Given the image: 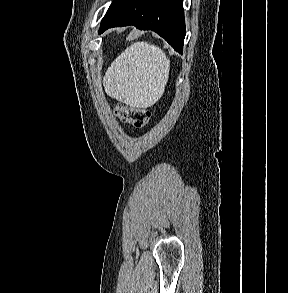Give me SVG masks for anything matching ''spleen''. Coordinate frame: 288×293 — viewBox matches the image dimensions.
<instances>
[{
    "label": "spleen",
    "instance_id": "3e777b00",
    "mask_svg": "<svg viewBox=\"0 0 288 293\" xmlns=\"http://www.w3.org/2000/svg\"><path fill=\"white\" fill-rule=\"evenodd\" d=\"M170 61L157 46L136 42L107 69L105 92L132 107L146 108L162 96L169 78Z\"/></svg>",
    "mask_w": 288,
    "mask_h": 293
}]
</instances>
